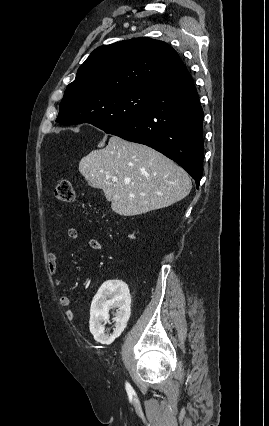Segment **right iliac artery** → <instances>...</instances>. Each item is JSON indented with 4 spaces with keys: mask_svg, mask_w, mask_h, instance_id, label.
Wrapping results in <instances>:
<instances>
[{
    "mask_svg": "<svg viewBox=\"0 0 269 426\" xmlns=\"http://www.w3.org/2000/svg\"><path fill=\"white\" fill-rule=\"evenodd\" d=\"M126 391L128 393H132L133 392V388L131 387V385L128 382H126Z\"/></svg>",
    "mask_w": 269,
    "mask_h": 426,
    "instance_id": "obj_1",
    "label": "right iliac artery"
}]
</instances>
